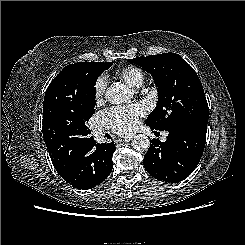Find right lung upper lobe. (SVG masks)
I'll return each mask as SVG.
<instances>
[{
  "mask_svg": "<svg viewBox=\"0 0 245 245\" xmlns=\"http://www.w3.org/2000/svg\"><path fill=\"white\" fill-rule=\"evenodd\" d=\"M77 63L66 66L48 86L43 103V136L49 141L76 135V126L87 106Z\"/></svg>",
  "mask_w": 245,
  "mask_h": 245,
  "instance_id": "cb5924a9",
  "label": "right lung upper lobe"
}]
</instances>
